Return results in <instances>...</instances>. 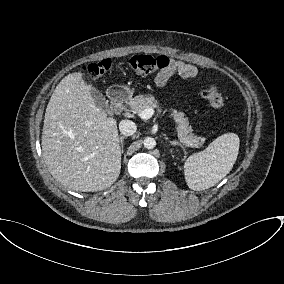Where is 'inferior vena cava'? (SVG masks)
Here are the masks:
<instances>
[{
	"instance_id": "602c4592",
	"label": "inferior vena cava",
	"mask_w": 284,
	"mask_h": 284,
	"mask_svg": "<svg viewBox=\"0 0 284 284\" xmlns=\"http://www.w3.org/2000/svg\"><path fill=\"white\" fill-rule=\"evenodd\" d=\"M119 130L124 136H131L136 132L137 126L133 121L122 120L119 123Z\"/></svg>"
}]
</instances>
